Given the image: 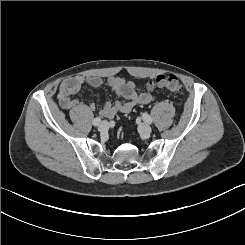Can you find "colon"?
Segmentation results:
<instances>
[{
  "label": "colon",
  "instance_id": "colon-1",
  "mask_svg": "<svg viewBox=\"0 0 245 245\" xmlns=\"http://www.w3.org/2000/svg\"><path fill=\"white\" fill-rule=\"evenodd\" d=\"M148 89L163 88L174 93H180L182 91V84L177 76L173 74H162L147 84Z\"/></svg>",
  "mask_w": 245,
  "mask_h": 245
}]
</instances>
